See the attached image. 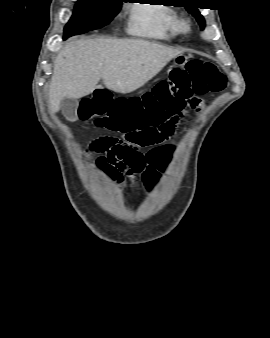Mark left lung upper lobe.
Instances as JSON below:
<instances>
[{"mask_svg":"<svg viewBox=\"0 0 270 338\" xmlns=\"http://www.w3.org/2000/svg\"><path fill=\"white\" fill-rule=\"evenodd\" d=\"M192 2H196V1H192ZM185 8L190 14H192L196 18V20L198 21L201 28L204 29L205 20H204L203 16L200 14L198 8L195 7V6H188V7H185Z\"/></svg>","mask_w":270,"mask_h":338,"instance_id":"5c2ea615","label":"left lung upper lobe"}]
</instances>
